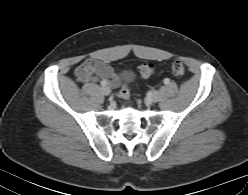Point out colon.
<instances>
[{
	"label": "colon",
	"instance_id": "obj_1",
	"mask_svg": "<svg viewBox=\"0 0 248 195\" xmlns=\"http://www.w3.org/2000/svg\"><path fill=\"white\" fill-rule=\"evenodd\" d=\"M171 72L174 76L181 78L185 75L186 69L182 61L176 60L171 64ZM139 73L143 78H150L155 74V66L150 63H144L139 67ZM131 92L127 84H122L118 90V96L121 99L128 100Z\"/></svg>",
	"mask_w": 248,
	"mask_h": 195
}]
</instances>
